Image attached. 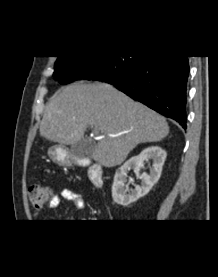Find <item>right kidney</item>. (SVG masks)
Segmentation results:
<instances>
[{
  "label": "right kidney",
  "mask_w": 218,
  "mask_h": 277,
  "mask_svg": "<svg viewBox=\"0 0 218 277\" xmlns=\"http://www.w3.org/2000/svg\"><path fill=\"white\" fill-rule=\"evenodd\" d=\"M153 160L150 173H141L144 161ZM166 159V151L158 146H151L144 149L138 156H133L117 169L112 185V198L114 202L122 206H128L145 196L157 183L161 176L162 167ZM134 170L137 178L141 179V185L135 189H128L127 173Z\"/></svg>",
  "instance_id": "right-kidney-1"
}]
</instances>
